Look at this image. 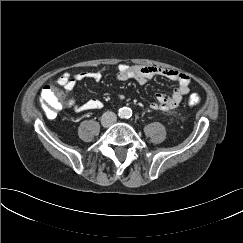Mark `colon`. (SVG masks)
I'll list each match as a JSON object with an SVG mask.
<instances>
[{
    "instance_id": "5ec220e1",
    "label": "colon",
    "mask_w": 243,
    "mask_h": 243,
    "mask_svg": "<svg viewBox=\"0 0 243 243\" xmlns=\"http://www.w3.org/2000/svg\"><path fill=\"white\" fill-rule=\"evenodd\" d=\"M41 103L45 114L48 117H54L56 113L63 107L65 101L61 90L55 86H47L41 93ZM188 103L190 105H197L200 103L198 95L190 96Z\"/></svg>"
}]
</instances>
